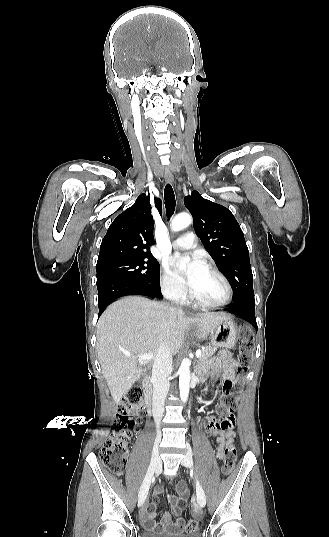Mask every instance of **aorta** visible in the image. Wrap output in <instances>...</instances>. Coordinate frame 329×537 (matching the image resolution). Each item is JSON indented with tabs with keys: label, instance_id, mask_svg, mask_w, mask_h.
Listing matches in <instances>:
<instances>
[{
	"label": "aorta",
	"instance_id": "aorta-1",
	"mask_svg": "<svg viewBox=\"0 0 329 537\" xmlns=\"http://www.w3.org/2000/svg\"><path fill=\"white\" fill-rule=\"evenodd\" d=\"M191 223L192 217L188 213H180L172 220L171 229L174 232H178L187 228ZM190 365L191 361L188 358H184L179 368V390L180 398L183 402L187 401L189 395Z\"/></svg>",
	"mask_w": 329,
	"mask_h": 537
}]
</instances>
